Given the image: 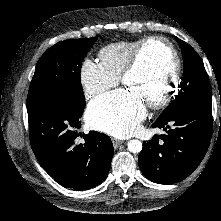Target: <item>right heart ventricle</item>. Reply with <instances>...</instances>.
Returning <instances> with one entry per match:
<instances>
[{"label":"right heart ventricle","instance_id":"obj_1","mask_svg":"<svg viewBox=\"0 0 221 221\" xmlns=\"http://www.w3.org/2000/svg\"><path fill=\"white\" fill-rule=\"evenodd\" d=\"M119 41L105 46L99 52V64L109 75L119 78L135 46L142 40Z\"/></svg>","mask_w":221,"mask_h":221}]
</instances>
